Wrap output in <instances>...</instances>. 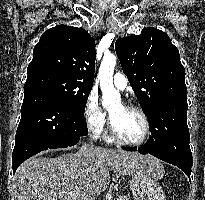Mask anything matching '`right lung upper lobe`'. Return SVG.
I'll return each instance as SVG.
<instances>
[{"label": "right lung upper lobe", "instance_id": "1", "mask_svg": "<svg viewBox=\"0 0 205 200\" xmlns=\"http://www.w3.org/2000/svg\"><path fill=\"white\" fill-rule=\"evenodd\" d=\"M95 57V41L83 28L58 25L46 30L34 47L27 79L57 74L93 85Z\"/></svg>", "mask_w": 205, "mask_h": 200}]
</instances>
